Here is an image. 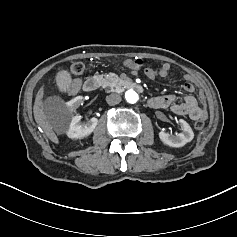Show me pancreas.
Masks as SVG:
<instances>
[{
    "label": "pancreas",
    "mask_w": 237,
    "mask_h": 237,
    "mask_svg": "<svg viewBox=\"0 0 237 237\" xmlns=\"http://www.w3.org/2000/svg\"><path fill=\"white\" fill-rule=\"evenodd\" d=\"M121 79L116 75L115 73H109L107 75H104V78L102 80V85L107 88L109 87L110 89H115L118 87Z\"/></svg>",
    "instance_id": "1"
}]
</instances>
